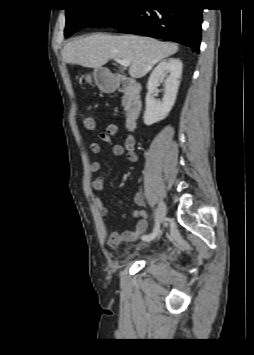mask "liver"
<instances>
[{"label": "liver", "mask_w": 254, "mask_h": 355, "mask_svg": "<svg viewBox=\"0 0 254 355\" xmlns=\"http://www.w3.org/2000/svg\"><path fill=\"white\" fill-rule=\"evenodd\" d=\"M177 51V44L149 37L95 33L67 43L62 58L65 63L94 69H101L113 58L129 59V75L142 78L156 63Z\"/></svg>", "instance_id": "obj_1"}]
</instances>
